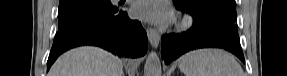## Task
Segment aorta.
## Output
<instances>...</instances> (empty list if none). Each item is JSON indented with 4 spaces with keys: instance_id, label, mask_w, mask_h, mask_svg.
I'll return each instance as SVG.
<instances>
[{
    "instance_id": "aorta-1",
    "label": "aorta",
    "mask_w": 287,
    "mask_h": 76,
    "mask_svg": "<svg viewBox=\"0 0 287 76\" xmlns=\"http://www.w3.org/2000/svg\"><path fill=\"white\" fill-rule=\"evenodd\" d=\"M161 62L158 54L155 51H152L148 54L145 67H144V76H161Z\"/></svg>"
}]
</instances>
